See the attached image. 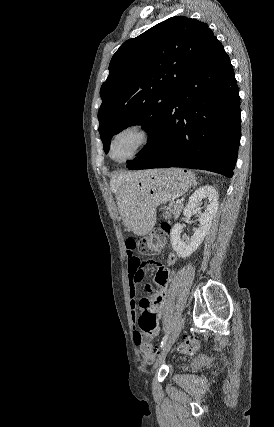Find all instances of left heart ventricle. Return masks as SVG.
Instances as JSON below:
<instances>
[{"label": "left heart ventricle", "instance_id": "1", "mask_svg": "<svg viewBox=\"0 0 274 427\" xmlns=\"http://www.w3.org/2000/svg\"><path fill=\"white\" fill-rule=\"evenodd\" d=\"M139 138L133 131L119 134L113 141L111 154L114 160L123 161L129 158L135 151Z\"/></svg>", "mask_w": 274, "mask_h": 427}]
</instances>
